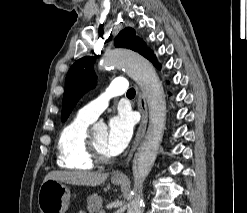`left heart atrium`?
<instances>
[{
	"label": "left heart atrium",
	"mask_w": 247,
	"mask_h": 213,
	"mask_svg": "<svg viewBox=\"0 0 247 213\" xmlns=\"http://www.w3.org/2000/svg\"><path fill=\"white\" fill-rule=\"evenodd\" d=\"M133 134V121L129 114L121 112L109 120L106 149L111 156L120 154Z\"/></svg>",
	"instance_id": "39dd6f15"
}]
</instances>
